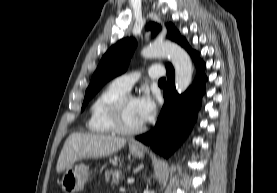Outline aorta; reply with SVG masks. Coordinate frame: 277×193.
Returning a JSON list of instances; mask_svg holds the SVG:
<instances>
[{"label": "aorta", "instance_id": "762f6f07", "mask_svg": "<svg viewBox=\"0 0 277 193\" xmlns=\"http://www.w3.org/2000/svg\"><path fill=\"white\" fill-rule=\"evenodd\" d=\"M144 58L168 57L175 69V85L183 93L192 81L193 66L190 57L179 45L172 42H154L141 51Z\"/></svg>", "mask_w": 277, "mask_h": 193}]
</instances>
